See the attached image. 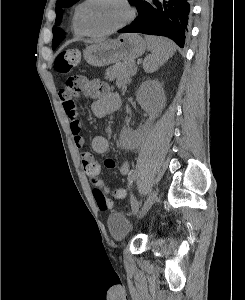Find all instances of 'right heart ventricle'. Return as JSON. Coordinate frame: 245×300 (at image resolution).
<instances>
[{
  "mask_svg": "<svg viewBox=\"0 0 245 300\" xmlns=\"http://www.w3.org/2000/svg\"><path fill=\"white\" fill-rule=\"evenodd\" d=\"M79 6H80V4L77 5L74 8V11H73V15H72V29H73L74 33H76L78 35H83L84 33L82 32V30L80 29V27L78 26L77 21H76V13H77V10H78Z\"/></svg>",
  "mask_w": 245,
  "mask_h": 300,
  "instance_id": "1",
  "label": "right heart ventricle"
}]
</instances>
